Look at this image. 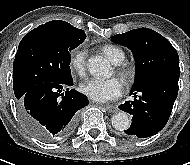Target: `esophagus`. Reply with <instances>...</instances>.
Listing matches in <instances>:
<instances>
[{
    "label": "esophagus",
    "mask_w": 190,
    "mask_h": 165,
    "mask_svg": "<svg viewBox=\"0 0 190 165\" xmlns=\"http://www.w3.org/2000/svg\"><path fill=\"white\" fill-rule=\"evenodd\" d=\"M102 107H104L108 112H117L118 109L116 106L113 105H100Z\"/></svg>",
    "instance_id": "1"
}]
</instances>
